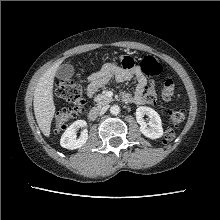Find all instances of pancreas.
<instances>
[{
	"label": "pancreas",
	"mask_w": 220,
	"mask_h": 220,
	"mask_svg": "<svg viewBox=\"0 0 220 220\" xmlns=\"http://www.w3.org/2000/svg\"><path fill=\"white\" fill-rule=\"evenodd\" d=\"M97 102L98 106L106 105L112 101L111 98H108L105 94H99L94 99Z\"/></svg>",
	"instance_id": "pancreas-1"
}]
</instances>
